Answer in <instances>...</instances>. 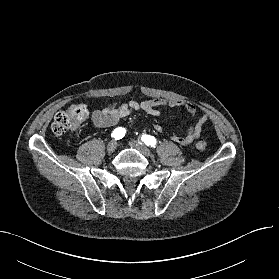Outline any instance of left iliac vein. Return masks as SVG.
Returning <instances> with one entry per match:
<instances>
[{
    "label": "left iliac vein",
    "instance_id": "1",
    "mask_svg": "<svg viewBox=\"0 0 279 279\" xmlns=\"http://www.w3.org/2000/svg\"><path fill=\"white\" fill-rule=\"evenodd\" d=\"M129 145L138 150L141 154H143L146 157H150L152 155L151 151L149 150L148 147H146L143 143L139 141L132 140L129 142Z\"/></svg>",
    "mask_w": 279,
    "mask_h": 279
}]
</instances>
